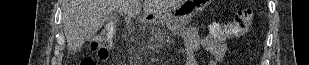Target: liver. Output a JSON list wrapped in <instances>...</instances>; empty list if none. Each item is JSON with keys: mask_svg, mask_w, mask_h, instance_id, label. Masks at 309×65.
Returning <instances> with one entry per match:
<instances>
[{"mask_svg": "<svg viewBox=\"0 0 309 65\" xmlns=\"http://www.w3.org/2000/svg\"><path fill=\"white\" fill-rule=\"evenodd\" d=\"M62 0V23L69 51L80 49L113 12L130 17L160 14L180 0Z\"/></svg>", "mask_w": 309, "mask_h": 65, "instance_id": "6515ba94", "label": "liver"}]
</instances>
